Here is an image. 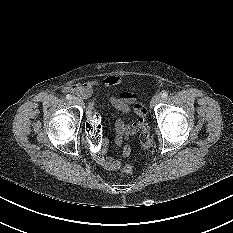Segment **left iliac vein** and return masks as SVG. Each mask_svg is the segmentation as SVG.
<instances>
[{
	"label": "left iliac vein",
	"instance_id": "4c4485c4",
	"mask_svg": "<svg viewBox=\"0 0 233 233\" xmlns=\"http://www.w3.org/2000/svg\"><path fill=\"white\" fill-rule=\"evenodd\" d=\"M161 99H162V96L160 94H156L155 96H153V98L151 100V107H154L159 102H161Z\"/></svg>",
	"mask_w": 233,
	"mask_h": 233
}]
</instances>
